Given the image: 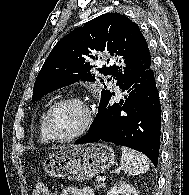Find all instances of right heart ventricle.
<instances>
[{
    "label": "right heart ventricle",
    "instance_id": "1",
    "mask_svg": "<svg viewBox=\"0 0 189 195\" xmlns=\"http://www.w3.org/2000/svg\"><path fill=\"white\" fill-rule=\"evenodd\" d=\"M47 110H45L42 113V115L40 116V118H39L38 131H39L40 140L42 142H48V141H50V139H49V137H48V135H47V133L45 131V128H44V118H45V115H46Z\"/></svg>",
    "mask_w": 189,
    "mask_h": 195
}]
</instances>
